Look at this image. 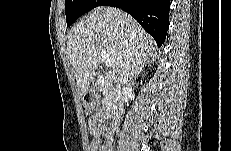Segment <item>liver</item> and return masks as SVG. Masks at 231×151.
Returning a JSON list of instances; mask_svg holds the SVG:
<instances>
[{"mask_svg":"<svg viewBox=\"0 0 231 151\" xmlns=\"http://www.w3.org/2000/svg\"><path fill=\"white\" fill-rule=\"evenodd\" d=\"M155 49L153 38L129 14L114 7L95 8L68 35L67 54L79 96L93 82L102 51L114 61L113 74L121 81L137 76Z\"/></svg>","mask_w":231,"mask_h":151,"instance_id":"obj_1","label":"liver"}]
</instances>
